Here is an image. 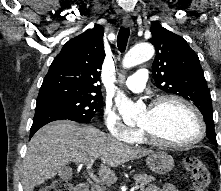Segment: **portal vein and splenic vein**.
<instances>
[{
  "instance_id": "18ae733b",
  "label": "portal vein and splenic vein",
  "mask_w": 221,
  "mask_h": 191,
  "mask_svg": "<svg viewBox=\"0 0 221 191\" xmlns=\"http://www.w3.org/2000/svg\"><path fill=\"white\" fill-rule=\"evenodd\" d=\"M93 162H94V160H91L90 162L87 163V170H88V171L90 170V168H91ZM89 174H90V176H92V174H91L90 172H89ZM94 180H95V182H97V183H100V182H101V181L98 180V179H94ZM138 188H139V185H137V184L133 187V189H138Z\"/></svg>"
}]
</instances>
